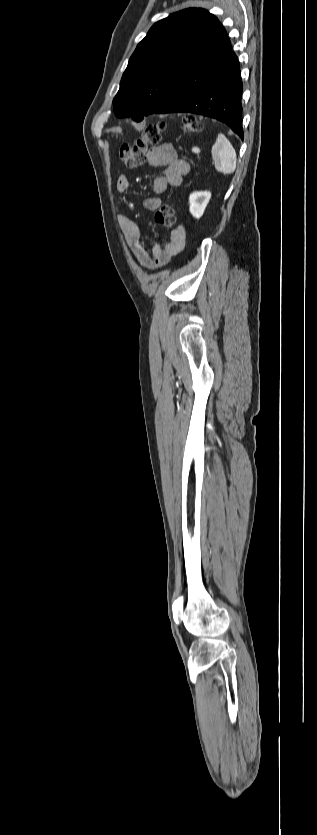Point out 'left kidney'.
<instances>
[{"label": "left kidney", "mask_w": 317, "mask_h": 835, "mask_svg": "<svg viewBox=\"0 0 317 835\" xmlns=\"http://www.w3.org/2000/svg\"><path fill=\"white\" fill-rule=\"evenodd\" d=\"M211 198L209 191H195L189 196L190 213L195 218L202 217L207 204Z\"/></svg>", "instance_id": "left-kidney-1"}]
</instances>
